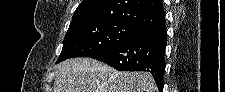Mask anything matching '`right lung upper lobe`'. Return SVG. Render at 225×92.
<instances>
[{
  "label": "right lung upper lobe",
  "instance_id": "cb5924a9",
  "mask_svg": "<svg viewBox=\"0 0 225 92\" xmlns=\"http://www.w3.org/2000/svg\"><path fill=\"white\" fill-rule=\"evenodd\" d=\"M120 22L142 32L165 24L162 0H83L69 28L82 24Z\"/></svg>",
  "mask_w": 225,
  "mask_h": 92
}]
</instances>
